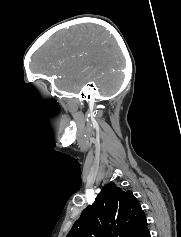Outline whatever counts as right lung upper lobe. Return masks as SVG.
Instances as JSON below:
<instances>
[{
	"label": "right lung upper lobe",
	"instance_id": "obj_1",
	"mask_svg": "<svg viewBox=\"0 0 181 237\" xmlns=\"http://www.w3.org/2000/svg\"><path fill=\"white\" fill-rule=\"evenodd\" d=\"M146 216L131 191L110 183L73 224L67 237H145Z\"/></svg>",
	"mask_w": 181,
	"mask_h": 237
}]
</instances>
